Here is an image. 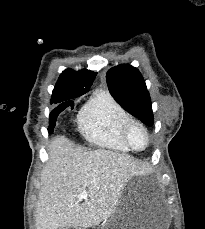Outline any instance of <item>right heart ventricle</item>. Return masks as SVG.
<instances>
[{
    "instance_id": "right-heart-ventricle-1",
    "label": "right heart ventricle",
    "mask_w": 205,
    "mask_h": 229,
    "mask_svg": "<svg viewBox=\"0 0 205 229\" xmlns=\"http://www.w3.org/2000/svg\"><path fill=\"white\" fill-rule=\"evenodd\" d=\"M130 116L108 92H97L83 107L79 115V128L92 144L102 148L129 152L122 131Z\"/></svg>"
}]
</instances>
